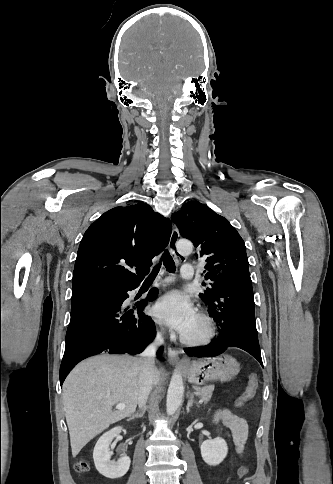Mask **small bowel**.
I'll list each match as a JSON object with an SVG mask.
<instances>
[{
  "label": "small bowel",
  "mask_w": 333,
  "mask_h": 484,
  "mask_svg": "<svg viewBox=\"0 0 333 484\" xmlns=\"http://www.w3.org/2000/svg\"><path fill=\"white\" fill-rule=\"evenodd\" d=\"M214 419L230 430L236 451L242 454L249 432L247 421L228 409L218 410Z\"/></svg>",
  "instance_id": "1"
}]
</instances>
